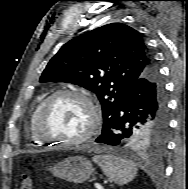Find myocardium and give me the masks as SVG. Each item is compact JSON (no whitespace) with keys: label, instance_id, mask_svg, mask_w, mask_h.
I'll return each mask as SVG.
<instances>
[{"label":"myocardium","instance_id":"obj_1","mask_svg":"<svg viewBox=\"0 0 188 189\" xmlns=\"http://www.w3.org/2000/svg\"><path fill=\"white\" fill-rule=\"evenodd\" d=\"M63 96L75 97L86 103L90 112V122L88 128L84 131L83 134H81L76 138L61 139V138L47 137L43 134V121L45 115L47 114L51 104L55 100ZM100 121H101V114L91 96H89L85 92L78 90L62 89L54 92L42 102L37 112L33 129L37 140L43 144L53 143V144H59L61 146H72V145L81 144L86 140L90 139L97 132L100 125Z\"/></svg>","mask_w":188,"mask_h":189}]
</instances>
